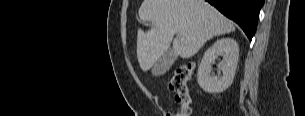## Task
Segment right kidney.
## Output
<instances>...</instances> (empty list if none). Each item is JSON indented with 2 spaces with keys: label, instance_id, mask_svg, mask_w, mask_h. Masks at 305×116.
<instances>
[{
  "label": "right kidney",
  "instance_id": "right-kidney-1",
  "mask_svg": "<svg viewBox=\"0 0 305 116\" xmlns=\"http://www.w3.org/2000/svg\"><path fill=\"white\" fill-rule=\"evenodd\" d=\"M222 56L219 69L223 76L211 75L212 63ZM239 56L238 43L231 38L217 40L204 54L199 65L197 81L199 86L208 93H220L226 90L233 82Z\"/></svg>",
  "mask_w": 305,
  "mask_h": 116
}]
</instances>
